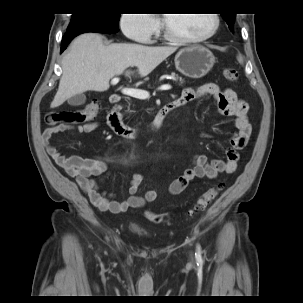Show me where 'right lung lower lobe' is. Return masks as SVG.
<instances>
[{
  "instance_id": "98d812e1",
  "label": "right lung lower lobe",
  "mask_w": 303,
  "mask_h": 303,
  "mask_svg": "<svg viewBox=\"0 0 303 303\" xmlns=\"http://www.w3.org/2000/svg\"><path fill=\"white\" fill-rule=\"evenodd\" d=\"M118 26L115 25H101V24H92L86 25L81 28L68 31L65 33L62 43H61V53L66 49L71 40L79 34L86 32H97V33H116L118 31Z\"/></svg>"
}]
</instances>
